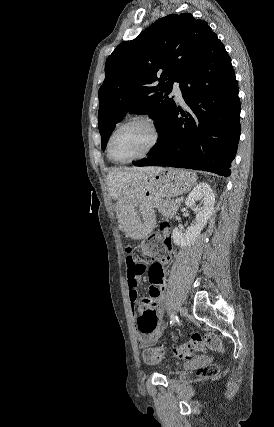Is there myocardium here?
I'll return each mask as SVG.
<instances>
[{
	"label": "myocardium",
	"mask_w": 274,
	"mask_h": 427,
	"mask_svg": "<svg viewBox=\"0 0 274 427\" xmlns=\"http://www.w3.org/2000/svg\"><path fill=\"white\" fill-rule=\"evenodd\" d=\"M134 122L146 123L153 132V141L150 144V146L143 153H141V154H139V155H137V156H135L129 160L118 159L112 152V139L118 130H120L124 126L129 125V124L134 123ZM161 140H162V132H161L158 124L156 123V121L148 114H137V115H134V116L126 119L125 121L119 123L113 129V131L109 135V138L107 141V153H108V156L110 157V159L113 160L114 162L119 163V164H129V163H132L134 161H138V160L147 158L160 145Z\"/></svg>",
	"instance_id": "myocardium-1"
}]
</instances>
